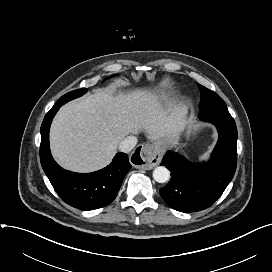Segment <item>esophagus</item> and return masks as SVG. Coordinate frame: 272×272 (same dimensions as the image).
Returning a JSON list of instances; mask_svg holds the SVG:
<instances>
[{
    "label": "esophagus",
    "instance_id": "obj_1",
    "mask_svg": "<svg viewBox=\"0 0 272 272\" xmlns=\"http://www.w3.org/2000/svg\"><path fill=\"white\" fill-rule=\"evenodd\" d=\"M140 150H136L132 157V163L136 168L150 170L159 164L162 158L161 150L154 142L143 144Z\"/></svg>",
    "mask_w": 272,
    "mask_h": 272
}]
</instances>
